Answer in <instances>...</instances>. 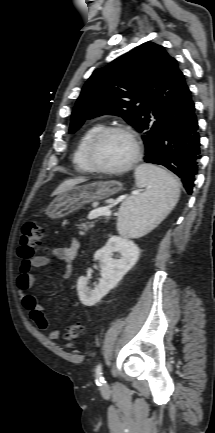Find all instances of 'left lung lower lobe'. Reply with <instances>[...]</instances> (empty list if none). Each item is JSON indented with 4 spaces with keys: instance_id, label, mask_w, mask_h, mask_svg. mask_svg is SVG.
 Instances as JSON below:
<instances>
[{
    "instance_id": "1",
    "label": "left lung lower lobe",
    "mask_w": 215,
    "mask_h": 433,
    "mask_svg": "<svg viewBox=\"0 0 215 433\" xmlns=\"http://www.w3.org/2000/svg\"><path fill=\"white\" fill-rule=\"evenodd\" d=\"M200 136L191 92L184 82L165 115V123L156 140L152 156L145 162L158 164L174 172L188 194H192L201 158Z\"/></svg>"
}]
</instances>
